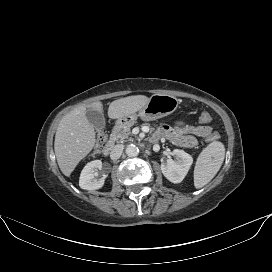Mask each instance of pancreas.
<instances>
[{"label": "pancreas", "mask_w": 272, "mask_h": 272, "mask_svg": "<svg viewBox=\"0 0 272 272\" xmlns=\"http://www.w3.org/2000/svg\"><path fill=\"white\" fill-rule=\"evenodd\" d=\"M133 125H134L133 123L124 125L120 130L115 131V132L113 133V138H114L116 141L124 142L126 139H128L129 136L132 135L131 127H132Z\"/></svg>", "instance_id": "1"}]
</instances>
